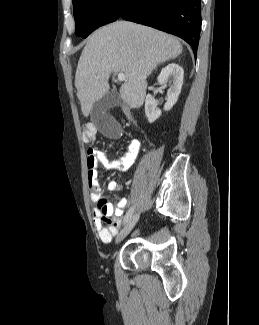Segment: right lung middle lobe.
I'll return each instance as SVG.
<instances>
[{"instance_id": "1", "label": "right lung middle lobe", "mask_w": 259, "mask_h": 325, "mask_svg": "<svg viewBox=\"0 0 259 325\" xmlns=\"http://www.w3.org/2000/svg\"><path fill=\"white\" fill-rule=\"evenodd\" d=\"M75 33L86 38L95 29L118 19L126 0H72Z\"/></svg>"}]
</instances>
